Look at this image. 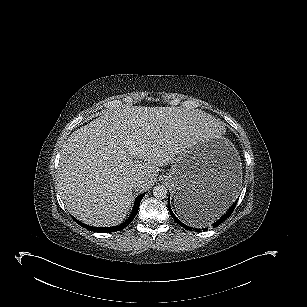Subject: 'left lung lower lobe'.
Listing matches in <instances>:
<instances>
[{"label":"left lung lower lobe","instance_id":"left-lung-lower-lobe-1","mask_svg":"<svg viewBox=\"0 0 307 307\" xmlns=\"http://www.w3.org/2000/svg\"><path fill=\"white\" fill-rule=\"evenodd\" d=\"M235 206H236V203H234V204L231 206V208L228 210V212H226V214H225L224 216H222L218 221H216V222L213 224V227H216V226L220 225L223 221H225L228 217H230V215L232 214V212H233ZM169 212H170L172 218L175 220V222H176L177 224H179L180 226H182L183 228H185V229H187V230H192V231H193V230L200 231V229H192V228H190L189 226H186L185 224H183V223L174 215V213L172 212L171 207H170V202H169ZM206 230H208V228L203 229V231H206Z\"/></svg>","mask_w":307,"mask_h":307}]
</instances>
